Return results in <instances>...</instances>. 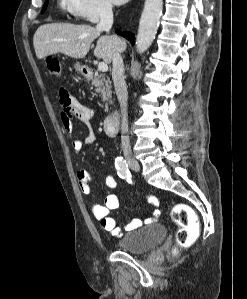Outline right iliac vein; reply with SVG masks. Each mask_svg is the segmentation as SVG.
Returning <instances> with one entry per match:
<instances>
[{
    "instance_id": "1",
    "label": "right iliac vein",
    "mask_w": 247,
    "mask_h": 299,
    "mask_svg": "<svg viewBox=\"0 0 247 299\" xmlns=\"http://www.w3.org/2000/svg\"><path fill=\"white\" fill-rule=\"evenodd\" d=\"M126 160L129 164V166L134 170V171H139L140 170V165L138 161L130 154L126 155Z\"/></svg>"
}]
</instances>
